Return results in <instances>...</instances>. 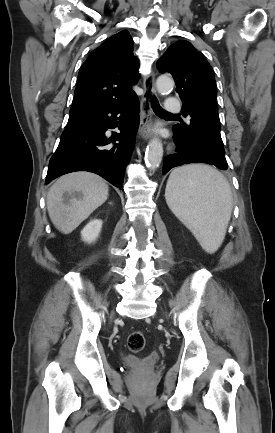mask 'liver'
<instances>
[{
    "mask_svg": "<svg viewBox=\"0 0 275 433\" xmlns=\"http://www.w3.org/2000/svg\"><path fill=\"white\" fill-rule=\"evenodd\" d=\"M108 195V185L94 173L82 171L63 175L48 191L49 217L60 232L69 234L101 206Z\"/></svg>",
    "mask_w": 275,
    "mask_h": 433,
    "instance_id": "6515ba94",
    "label": "liver"
}]
</instances>
